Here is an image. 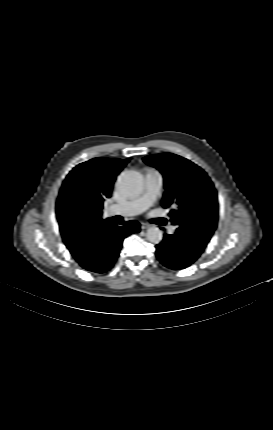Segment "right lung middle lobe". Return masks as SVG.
<instances>
[{"instance_id": "right-lung-middle-lobe-1", "label": "right lung middle lobe", "mask_w": 273, "mask_h": 430, "mask_svg": "<svg viewBox=\"0 0 273 430\" xmlns=\"http://www.w3.org/2000/svg\"><path fill=\"white\" fill-rule=\"evenodd\" d=\"M92 213V209L83 199L75 198L64 208V220L68 226L81 227L92 216Z\"/></svg>"}]
</instances>
